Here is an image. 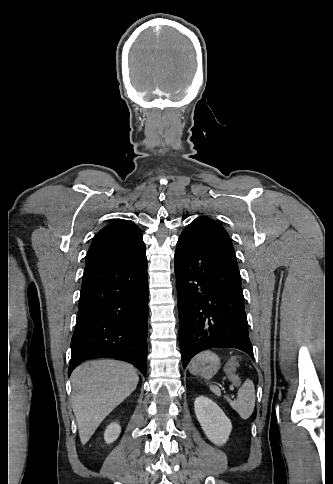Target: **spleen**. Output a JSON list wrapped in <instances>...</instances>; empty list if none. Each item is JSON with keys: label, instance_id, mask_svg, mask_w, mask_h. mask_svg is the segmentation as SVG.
<instances>
[{"label": "spleen", "instance_id": "spleen-1", "mask_svg": "<svg viewBox=\"0 0 333 484\" xmlns=\"http://www.w3.org/2000/svg\"><path fill=\"white\" fill-rule=\"evenodd\" d=\"M210 390L217 396L221 395L220 389L216 386H210ZM225 399L242 419H249L255 407V389L253 382L248 379L244 381L242 387L238 390L236 400L232 401L227 396H225Z\"/></svg>", "mask_w": 333, "mask_h": 484}]
</instances>
